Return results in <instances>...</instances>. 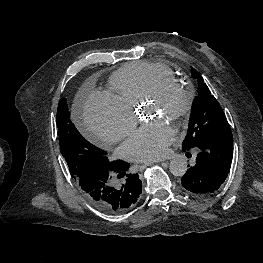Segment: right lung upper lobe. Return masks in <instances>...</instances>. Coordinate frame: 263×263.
<instances>
[{
  "label": "right lung upper lobe",
  "instance_id": "cb5924a9",
  "mask_svg": "<svg viewBox=\"0 0 263 263\" xmlns=\"http://www.w3.org/2000/svg\"><path fill=\"white\" fill-rule=\"evenodd\" d=\"M129 208H131V207L117 208V209H113L111 212L112 213H121V212H124V211L128 210Z\"/></svg>",
  "mask_w": 263,
  "mask_h": 263
}]
</instances>
